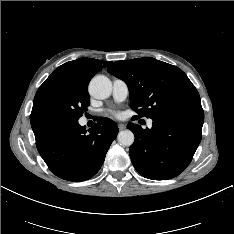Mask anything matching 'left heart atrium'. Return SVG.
I'll list each match as a JSON object with an SVG mask.
<instances>
[{
    "mask_svg": "<svg viewBox=\"0 0 234 234\" xmlns=\"http://www.w3.org/2000/svg\"><path fill=\"white\" fill-rule=\"evenodd\" d=\"M111 115L114 116V117H117V118H120L121 117V113L120 112H111Z\"/></svg>",
    "mask_w": 234,
    "mask_h": 234,
    "instance_id": "1",
    "label": "left heart atrium"
}]
</instances>
